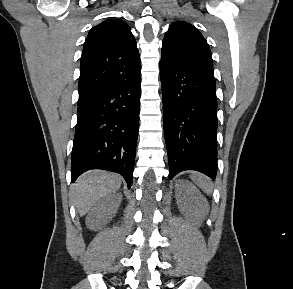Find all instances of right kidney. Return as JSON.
<instances>
[{"mask_svg": "<svg viewBox=\"0 0 293 289\" xmlns=\"http://www.w3.org/2000/svg\"><path fill=\"white\" fill-rule=\"evenodd\" d=\"M118 204V203H117ZM115 212V208H114ZM103 213L102 203L95 205L86 218L87 226L92 230L101 228V214Z\"/></svg>", "mask_w": 293, "mask_h": 289, "instance_id": "right-kidney-1", "label": "right kidney"}]
</instances>
